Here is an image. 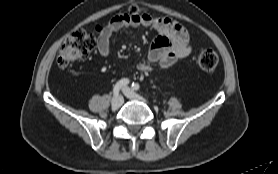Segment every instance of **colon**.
<instances>
[{
	"instance_id": "5ec220e1",
	"label": "colon",
	"mask_w": 278,
	"mask_h": 174,
	"mask_svg": "<svg viewBox=\"0 0 278 174\" xmlns=\"http://www.w3.org/2000/svg\"><path fill=\"white\" fill-rule=\"evenodd\" d=\"M138 7H131V14L139 13ZM103 27H97L100 31ZM96 46V39L83 29L72 31L59 49L57 63L60 67H66L74 61L86 58ZM218 64L217 53L210 48L203 49L198 56V65L205 71H213Z\"/></svg>"
}]
</instances>
